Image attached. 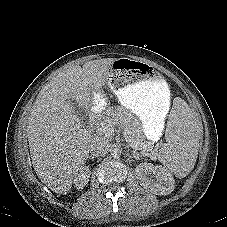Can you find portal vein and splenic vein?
<instances>
[{
	"label": "portal vein and splenic vein",
	"mask_w": 227,
	"mask_h": 227,
	"mask_svg": "<svg viewBox=\"0 0 227 227\" xmlns=\"http://www.w3.org/2000/svg\"><path fill=\"white\" fill-rule=\"evenodd\" d=\"M97 132H98L99 134H104V135L107 136V134H108V129H107V128H98V129H97ZM133 147H134V146H133Z\"/></svg>",
	"instance_id": "portal-vein-and-splenic-vein-1"
}]
</instances>
